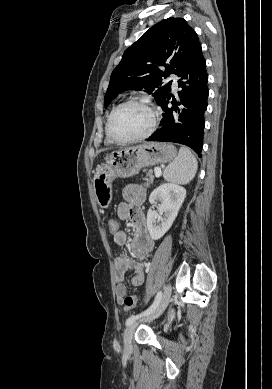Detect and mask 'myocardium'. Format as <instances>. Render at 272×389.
Instances as JSON below:
<instances>
[{"label":"myocardium","mask_w":272,"mask_h":389,"mask_svg":"<svg viewBox=\"0 0 272 389\" xmlns=\"http://www.w3.org/2000/svg\"><path fill=\"white\" fill-rule=\"evenodd\" d=\"M130 104H136V105H140V106L146 108L151 114V123H150V126L148 127V129L144 133H142L138 136L131 137V138H119L113 133L112 121H113L115 114L121 108H123L127 105H130ZM158 118H159V115H158L157 110L148 101H146L144 99H140V98H130V99L118 104L111 111V113L108 117V120H107V133H108L109 137L116 143L124 144V143L138 142V141H141V140L149 137L154 132V130L156 129V126L158 124Z\"/></svg>","instance_id":"myocardium-1"}]
</instances>
